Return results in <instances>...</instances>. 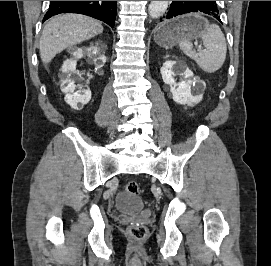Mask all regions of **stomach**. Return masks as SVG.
<instances>
[{
  "label": "stomach",
  "instance_id": "1",
  "mask_svg": "<svg viewBox=\"0 0 271 266\" xmlns=\"http://www.w3.org/2000/svg\"><path fill=\"white\" fill-rule=\"evenodd\" d=\"M207 21L198 14H187L160 24L154 31V41L166 49L181 40L197 39L205 31Z\"/></svg>",
  "mask_w": 271,
  "mask_h": 266
}]
</instances>
